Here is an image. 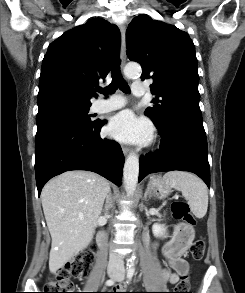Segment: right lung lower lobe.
I'll return each instance as SVG.
<instances>
[{"label": "right lung lower lobe", "instance_id": "98d812e1", "mask_svg": "<svg viewBox=\"0 0 245 293\" xmlns=\"http://www.w3.org/2000/svg\"><path fill=\"white\" fill-rule=\"evenodd\" d=\"M105 123L60 127L35 141L38 195L48 180L70 170L96 172L121 185L124 155L118 143L100 137Z\"/></svg>", "mask_w": 245, "mask_h": 293}]
</instances>
